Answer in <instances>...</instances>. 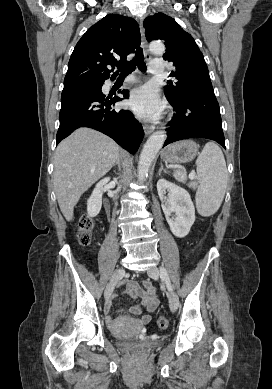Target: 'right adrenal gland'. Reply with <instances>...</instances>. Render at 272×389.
Returning a JSON list of instances; mask_svg holds the SVG:
<instances>
[{
    "label": "right adrenal gland",
    "mask_w": 272,
    "mask_h": 389,
    "mask_svg": "<svg viewBox=\"0 0 272 389\" xmlns=\"http://www.w3.org/2000/svg\"><path fill=\"white\" fill-rule=\"evenodd\" d=\"M116 165L118 166L119 171H121V168H122V157H121V155L118 156V159H117L116 163L114 164V166H116Z\"/></svg>",
    "instance_id": "1"
}]
</instances>
